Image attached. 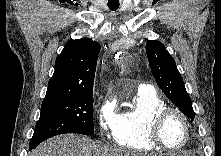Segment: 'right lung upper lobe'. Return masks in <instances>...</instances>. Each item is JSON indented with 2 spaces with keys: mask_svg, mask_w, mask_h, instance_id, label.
Instances as JSON below:
<instances>
[{
  "mask_svg": "<svg viewBox=\"0 0 221 156\" xmlns=\"http://www.w3.org/2000/svg\"><path fill=\"white\" fill-rule=\"evenodd\" d=\"M100 44L89 38L69 40L57 56L55 71L44 99L69 97L93 91Z\"/></svg>",
  "mask_w": 221,
  "mask_h": 156,
  "instance_id": "right-lung-upper-lobe-1",
  "label": "right lung upper lobe"
}]
</instances>
